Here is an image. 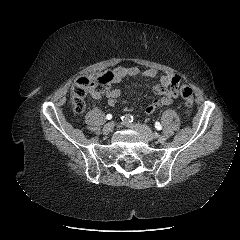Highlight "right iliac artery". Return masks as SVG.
<instances>
[{
    "mask_svg": "<svg viewBox=\"0 0 240 240\" xmlns=\"http://www.w3.org/2000/svg\"><path fill=\"white\" fill-rule=\"evenodd\" d=\"M121 120H122L123 123L128 124V123L133 122V116L130 115V114H125L121 117Z\"/></svg>",
    "mask_w": 240,
    "mask_h": 240,
    "instance_id": "1",
    "label": "right iliac artery"
}]
</instances>
